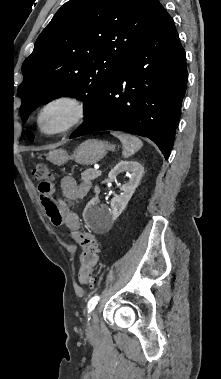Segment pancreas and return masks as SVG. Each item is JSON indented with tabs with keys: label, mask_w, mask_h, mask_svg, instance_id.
Wrapping results in <instances>:
<instances>
[{
	"label": "pancreas",
	"mask_w": 221,
	"mask_h": 379,
	"mask_svg": "<svg viewBox=\"0 0 221 379\" xmlns=\"http://www.w3.org/2000/svg\"><path fill=\"white\" fill-rule=\"evenodd\" d=\"M101 175L100 172L94 169H87L81 174V178L84 181L94 180Z\"/></svg>",
	"instance_id": "pancreas-1"
}]
</instances>
